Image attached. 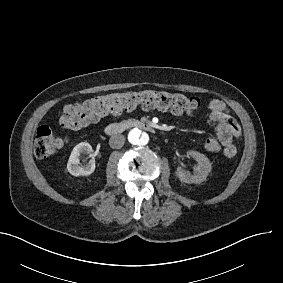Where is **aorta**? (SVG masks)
<instances>
[{
  "label": "aorta",
  "instance_id": "obj_1",
  "mask_svg": "<svg viewBox=\"0 0 283 283\" xmlns=\"http://www.w3.org/2000/svg\"><path fill=\"white\" fill-rule=\"evenodd\" d=\"M150 138L148 133L145 131H142L139 128H133L130 130L128 134V141L132 145L136 146H146L149 142Z\"/></svg>",
  "mask_w": 283,
  "mask_h": 283
}]
</instances>
